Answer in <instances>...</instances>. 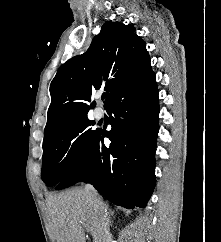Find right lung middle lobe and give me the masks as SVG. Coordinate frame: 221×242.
Wrapping results in <instances>:
<instances>
[{
	"instance_id": "dd1d6c3e",
	"label": "right lung middle lobe",
	"mask_w": 221,
	"mask_h": 242,
	"mask_svg": "<svg viewBox=\"0 0 221 242\" xmlns=\"http://www.w3.org/2000/svg\"><path fill=\"white\" fill-rule=\"evenodd\" d=\"M90 125L93 122L84 116L44 138L41 177L48 186L58 184L80 161L98 131Z\"/></svg>"
}]
</instances>
